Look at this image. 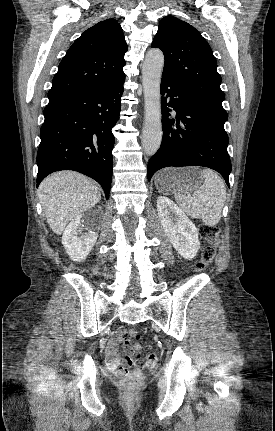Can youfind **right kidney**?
<instances>
[{
  "label": "right kidney",
  "mask_w": 275,
  "mask_h": 431,
  "mask_svg": "<svg viewBox=\"0 0 275 431\" xmlns=\"http://www.w3.org/2000/svg\"><path fill=\"white\" fill-rule=\"evenodd\" d=\"M82 223V215H77L65 228L62 236V244L73 261L84 260L92 250L98 237L97 232L93 230H88L87 233L81 234ZM79 233L81 236H78Z\"/></svg>",
  "instance_id": "ca27d5eb"
}]
</instances>
